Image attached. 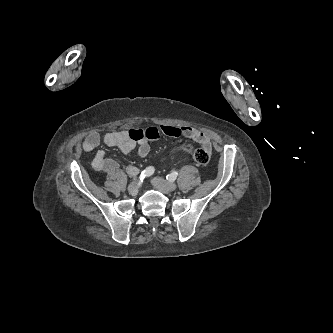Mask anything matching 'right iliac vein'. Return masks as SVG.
Wrapping results in <instances>:
<instances>
[{"label":"right iliac vein","instance_id":"1","mask_svg":"<svg viewBox=\"0 0 333 333\" xmlns=\"http://www.w3.org/2000/svg\"><path fill=\"white\" fill-rule=\"evenodd\" d=\"M138 189H139V183L136 181L130 183L128 186V191L132 195H136L138 192Z\"/></svg>","mask_w":333,"mask_h":333}]
</instances>
